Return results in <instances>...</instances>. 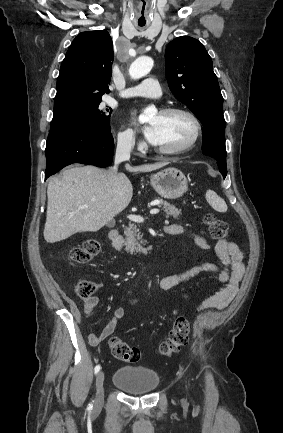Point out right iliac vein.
Instances as JSON below:
<instances>
[{
    "label": "right iliac vein",
    "mask_w": 283,
    "mask_h": 433,
    "mask_svg": "<svg viewBox=\"0 0 283 433\" xmlns=\"http://www.w3.org/2000/svg\"><path fill=\"white\" fill-rule=\"evenodd\" d=\"M104 372L99 371L96 376V401H95V408H98L102 405L104 402Z\"/></svg>",
    "instance_id": "63e3f726"
}]
</instances>
